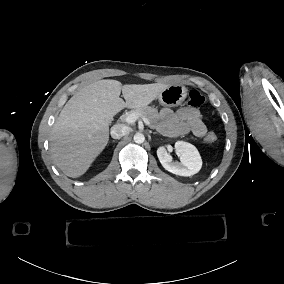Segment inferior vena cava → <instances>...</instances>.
Segmentation results:
<instances>
[{
  "label": "inferior vena cava",
  "instance_id": "inferior-vena-cava-1",
  "mask_svg": "<svg viewBox=\"0 0 284 284\" xmlns=\"http://www.w3.org/2000/svg\"><path fill=\"white\" fill-rule=\"evenodd\" d=\"M130 131L129 127L122 124H116L111 128V136L117 140L128 134Z\"/></svg>",
  "mask_w": 284,
  "mask_h": 284
}]
</instances>
